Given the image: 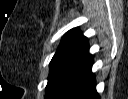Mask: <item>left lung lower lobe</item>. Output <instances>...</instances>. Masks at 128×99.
<instances>
[{"label": "left lung lower lobe", "mask_w": 128, "mask_h": 99, "mask_svg": "<svg viewBox=\"0 0 128 99\" xmlns=\"http://www.w3.org/2000/svg\"><path fill=\"white\" fill-rule=\"evenodd\" d=\"M88 50L87 42L58 69L46 89V99H99L91 71L93 56Z\"/></svg>", "instance_id": "obj_1"}]
</instances>
